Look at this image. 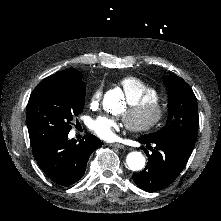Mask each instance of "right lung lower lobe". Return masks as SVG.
I'll list each match as a JSON object with an SVG mask.
<instances>
[{
	"instance_id": "1",
	"label": "right lung lower lobe",
	"mask_w": 221,
	"mask_h": 221,
	"mask_svg": "<svg viewBox=\"0 0 221 221\" xmlns=\"http://www.w3.org/2000/svg\"><path fill=\"white\" fill-rule=\"evenodd\" d=\"M101 146V141L90 133L78 144L65 135L35 143L32 145V153L40 168L52 181L69 186L83 177L90 154Z\"/></svg>"
}]
</instances>
